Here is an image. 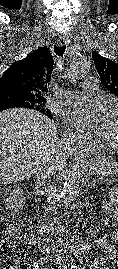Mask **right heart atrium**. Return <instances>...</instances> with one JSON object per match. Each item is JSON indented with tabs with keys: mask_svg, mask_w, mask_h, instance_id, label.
Wrapping results in <instances>:
<instances>
[{
	"mask_svg": "<svg viewBox=\"0 0 118 269\" xmlns=\"http://www.w3.org/2000/svg\"><path fill=\"white\" fill-rule=\"evenodd\" d=\"M65 135H66L67 139H68L71 143H73V144H75V145H78V144L81 143V138L78 137V136H77L76 134H74L73 132H71V131H66Z\"/></svg>",
	"mask_w": 118,
	"mask_h": 269,
	"instance_id": "obj_1",
	"label": "right heart atrium"
}]
</instances>
